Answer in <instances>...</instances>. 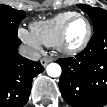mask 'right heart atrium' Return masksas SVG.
I'll return each mask as SVG.
<instances>
[{"label":"right heart atrium","mask_w":107,"mask_h":107,"mask_svg":"<svg viewBox=\"0 0 107 107\" xmlns=\"http://www.w3.org/2000/svg\"><path fill=\"white\" fill-rule=\"evenodd\" d=\"M19 37L23 40V42H25L26 44H28L29 46L35 48V49H40V43L35 39V37L28 32L27 30L21 28L19 30Z\"/></svg>","instance_id":"d8ad5b80"}]
</instances>
